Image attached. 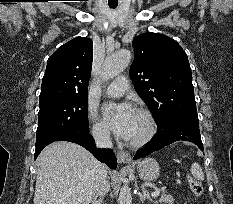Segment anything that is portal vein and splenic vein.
Wrapping results in <instances>:
<instances>
[{"instance_id": "18ae733b", "label": "portal vein and splenic vein", "mask_w": 233, "mask_h": 204, "mask_svg": "<svg viewBox=\"0 0 233 204\" xmlns=\"http://www.w3.org/2000/svg\"><path fill=\"white\" fill-rule=\"evenodd\" d=\"M160 194V190L159 189H156L154 192H152V196L153 197H156Z\"/></svg>"}]
</instances>
